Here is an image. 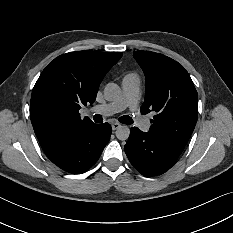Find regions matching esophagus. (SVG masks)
<instances>
[{"label": "esophagus", "instance_id": "esophagus-1", "mask_svg": "<svg viewBox=\"0 0 233 233\" xmlns=\"http://www.w3.org/2000/svg\"><path fill=\"white\" fill-rule=\"evenodd\" d=\"M119 127H121V124L118 123V122L112 124V130H116V129H118Z\"/></svg>", "mask_w": 233, "mask_h": 233}]
</instances>
